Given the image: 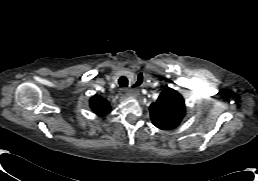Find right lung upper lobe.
<instances>
[{"label": "right lung upper lobe", "instance_id": "cb5924a9", "mask_svg": "<svg viewBox=\"0 0 258 181\" xmlns=\"http://www.w3.org/2000/svg\"><path fill=\"white\" fill-rule=\"evenodd\" d=\"M90 107L99 116L106 115L111 111L110 104L99 95L91 98Z\"/></svg>", "mask_w": 258, "mask_h": 181}]
</instances>
